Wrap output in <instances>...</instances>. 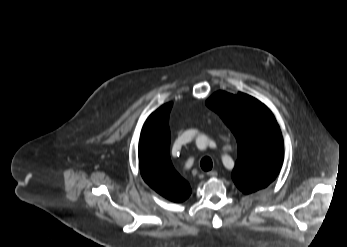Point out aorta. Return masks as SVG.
I'll return each mask as SVG.
<instances>
[{"instance_id": "762f6f07", "label": "aorta", "mask_w": 347, "mask_h": 247, "mask_svg": "<svg viewBox=\"0 0 347 247\" xmlns=\"http://www.w3.org/2000/svg\"><path fill=\"white\" fill-rule=\"evenodd\" d=\"M207 142V138L206 136L204 135H200L198 136L197 140H196V143H197V146H200V145H203Z\"/></svg>"}]
</instances>
